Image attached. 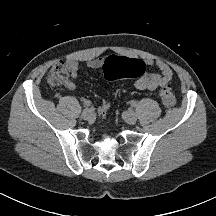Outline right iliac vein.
Segmentation results:
<instances>
[{"label": "right iliac vein", "instance_id": "obj_1", "mask_svg": "<svg viewBox=\"0 0 216 216\" xmlns=\"http://www.w3.org/2000/svg\"><path fill=\"white\" fill-rule=\"evenodd\" d=\"M81 116L84 120H87V121H92L95 118L94 112L90 109L83 110Z\"/></svg>", "mask_w": 216, "mask_h": 216}]
</instances>
